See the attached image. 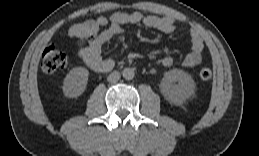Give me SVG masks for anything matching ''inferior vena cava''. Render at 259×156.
I'll return each instance as SVG.
<instances>
[{
  "label": "inferior vena cava",
  "mask_w": 259,
  "mask_h": 156,
  "mask_svg": "<svg viewBox=\"0 0 259 156\" xmlns=\"http://www.w3.org/2000/svg\"><path fill=\"white\" fill-rule=\"evenodd\" d=\"M120 73L118 71H113L107 77V81L110 83H116L120 79Z\"/></svg>",
  "instance_id": "1"
}]
</instances>
